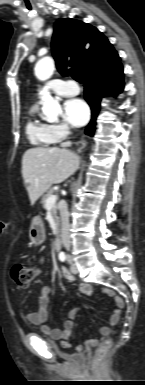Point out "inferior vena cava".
I'll return each mask as SVG.
<instances>
[{
    "mask_svg": "<svg viewBox=\"0 0 145 385\" xmlns=\"http://www.w3.org/2000/svg\"><path fill=\"white\" fill-rule=\"evenodd\" d=\"M60 218H61V240L63 246L66 250L70 249L71 241H70V224H69V212L68 206L65 201L60 205Z\"/></svg>",
    "mask_w": 145,
    "mask_h": 385,
    "instance_id": "obj_1",
    "label": "inferior vena cava"
}]
</instances>
